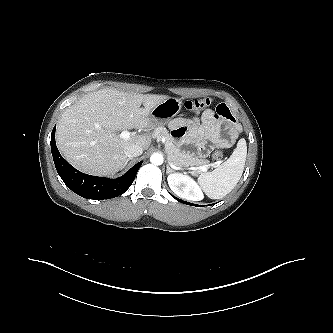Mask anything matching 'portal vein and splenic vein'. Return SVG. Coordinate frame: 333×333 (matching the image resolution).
Masks as SVG:
<instances>
[{"instance_id":"portal-vein-and-splenic-vein-1","label":"portal vein and splenic vein","mask_w":333,"mask_h":333,"mask_svg":"<svg viewBox=\"0 0 333 333\" xmlns=\"http://www.w3.org/2000/svg\"><path fill=\"white\" fill-rule=\"evenodd\" d=\"M120 137L123 139H128L129 137H131V132L124 130L120 133ZM164 140V139H162ZM196 170H199L201 172H206L208 170L207 165H201L198 167H195Z\"/></svg>"}]
</instances>
